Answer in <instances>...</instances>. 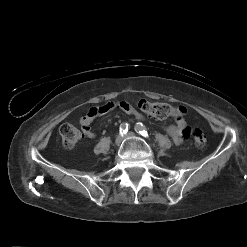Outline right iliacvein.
I'll list each match as a JSON object with an SVG mask.
<instances>
[{"label":"right iliac vein","instance_id":"right-iliac-vein-1","mask_svg":"<svg viewBox=\"0 0 247 247\" xmlns=\"http://www.w3.org/2000/svg\"><path fill=\"white\" fill-rule=\"evenodd\" d=\"M122 140H123V136L122 135H117V137L115 139V144L116 145H120Z\"/></svg>","mask_w":247,"mask_h":247}]
</instances>
